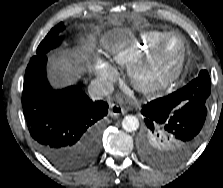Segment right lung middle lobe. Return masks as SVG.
<instances>
[{"mask_svg": "<svg viewBox=\"0 0 223 188\" xmlns=\"http://www.w3.org/2000/svg\"><path fill=\"white\" fill-rule=\"evenodd\" d=\"M64 29L63 23H59L57 26L51 29L47 36L39 44L36 55H45L50 49L57 47L61 42V37L58 34Z\"/></svg>", "mask_w": 223, "mask_h": 188, "instance_id": "right-lung-middle-lobe-1", "label": "right lung middle lobe"}]
</instances>
